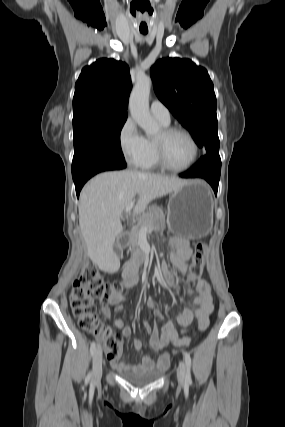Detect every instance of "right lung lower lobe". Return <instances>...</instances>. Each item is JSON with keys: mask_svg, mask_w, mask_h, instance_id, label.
<instances>
[{"mask_svg": "<svg viewBox=\"0 0 285 427\" xmlns=\"http://www.w3.org/2000/svg\"><path fill=\"white\" fill-rule=\"evenodd\" d=\"M125 167V161H118L104 156H96L89 159L72 173L77 197H79V193L85 182L95 174L108 170H119Z\"/></svg>", "mask_w": 285, "mask_h": 427, "instance_id": "right-lung-lower-lobe-1", "label": "right lung lower lobe"}]
</instances>
